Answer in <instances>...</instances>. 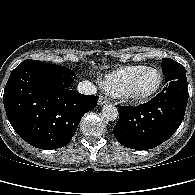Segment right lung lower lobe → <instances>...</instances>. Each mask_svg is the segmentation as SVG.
I'll list each match as a JSON object with an SVG mask.
<instances>
[{
    "label": "right lung lower lobe",
    "instance_id": "right-lung-lower-lobe-1",
    "mask_svg": "<svg viewBox=\"0 0 195 195\" xmlns=\"http://www.w3.org/2000/svg\"><path fill=\"white\" fill-rule=\"evenodd\" d=\"M98 98L58 88L45 71L18 66L5 86L3 103L10 124L24 141L36 148L56 149L70 142Z\"/></svg>",
    "mask_w": 195,
    "mask_h": 195
}]
</instances>
